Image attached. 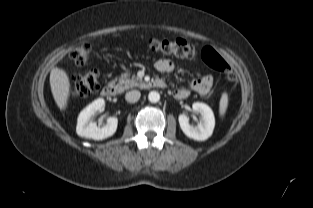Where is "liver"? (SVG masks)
<instances>
[{
	"label": "liver",
	"instance_id": "obj_1",
	"mask_svg": "<svg viewBox=\"0 0 313 208\" xmlns=\"http://www.w3.org/2000/svg\"><path fill=\"white\" fill-rule=\"evenodd\" d=\"M50 86L53 98L60 110L68 105L71 84L67 73L60 68H53L50 72Z\"/></svg>",
	"mask_w": 313,
	"mask_h": 208
}]
</instances>
